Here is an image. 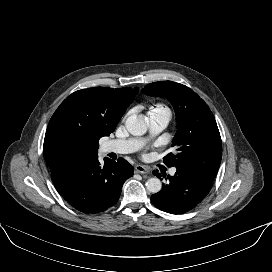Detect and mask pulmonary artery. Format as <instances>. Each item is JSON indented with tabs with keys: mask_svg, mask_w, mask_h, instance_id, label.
Listing matches in <instances>:
<instances>
[{
	"mask_svg": "<svg viewBox=\"0 0 272 272\" xmlns=\"http://www.w3.org/2000/svg\"><path fill=\"white\" fill-rule=\"evenodd\" d=\"M150 134L151 136L157 135L161 131H163L170 120V115L166 113H155L148 115L147 117ZM146 139L138 138V139H129V140H118V141H110L106 144V150L109 152L119 153V154H127L137 151L144 143ZM176 170L172 169L170 173L175 174Z\"/></svg>",
	"mask_w": 272,
	"mask_h": 272,
	"instance_id": "obj_1",
	"label": "pulmonary artery"
}]
</instances>
